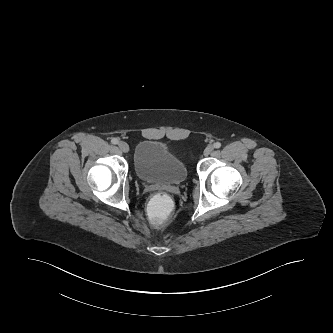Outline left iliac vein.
I'll list each match as a JSON object with an SVG mask.
<instances>
[{"instance_id":"left-iliac-vein-1","label":"left iliac vein","mask_w":333,"mask_h":333,"mask_svg":"<svg viewBox=\"0 0 333 333\" xmlns=\"http://www.w3.org/2000/svg\"><path fill=\"white\" fill-rule=\"evenodd\" d=\"M213 150H214V147H213V146H211V145L207 146V147L205 148V150H204V155H205V156L210 155V154L213 152Z\"/></svg>"}]
</instances>
